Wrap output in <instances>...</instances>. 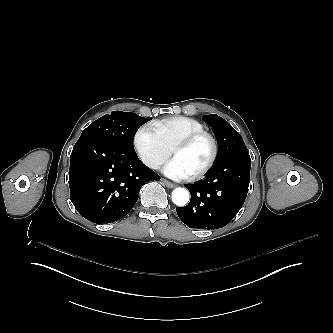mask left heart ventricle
<instances>
[{
	"label": "left heart ventricle",
	"instance_id": "obj_1",
	"mask_svg": "<svg viewBox=\"0 0 333 333\" xmlns=\"http://www.w3.org/2000/svg\"><path fill=\"white\" fill-rule=\"evenodd\" d=\"M210 154V142L207 139H202L190 147L176 150L171 155L192 175L207 162Z\"/></svg>",
	"mask_w": 333,
	"mask_h": 333
}]
</instances>
